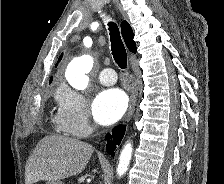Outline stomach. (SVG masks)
<instances>
[{
    "label": "stomach",
    "mask_w": 224,
    "mask_h": 184,
    "mask_svg": "<svg viewBox=\"0 0 224 184\" xmlns=\"http://www.w3.org/2000/svg\"><path fill=\"white\" fill-rule=\"evenodd\" d=\"M46 184H64L61 180L47 181Z\"/></svg>",
    "instance_id": "stomach-1"
}]
</instances>
